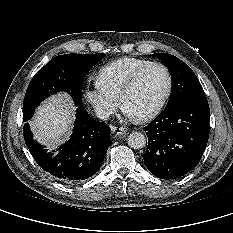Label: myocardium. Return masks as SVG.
Segmentation results:
<instances>
[{"label": "myocardium", "mask_w": 233, "mask_h": 233, "mask_svg": "<svg viewBox=\"0 0 233 233\" xmlns=\"http://www.w3.org/2000/svg\"><path fill=\"white\" fill-rule=\"evenodd\" d=\"M150 67H160L162 68L166 75H167V79H168V84H167V89L165 94L163 95V97L161 98V100L158 102V104L151 109L149 112L136 117L137 121L140 122H146L149 121L151 119H153L154 117H156L161 110L164 108V106L166 105L167 101L169 100L172 90H173V76L172 73L170 71V69L163 63L160 62H150L148 64L143 65L142 67H140L139 69H137L129 78V80L126 82V84L124 85L120 96H119V100H120V104L122 107H124V102L125 99L127 97V95L133 90V88L136 86L137 82L139 81L140 77L142 76V74L149 69Z\"/></svg>", "instance_id": "myocardium-1"}]
</instances>
